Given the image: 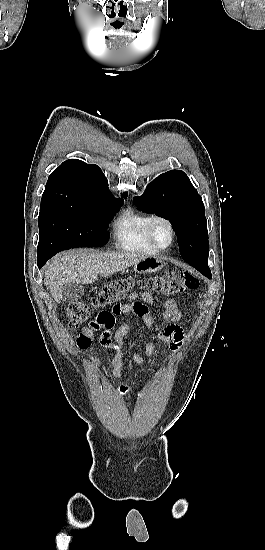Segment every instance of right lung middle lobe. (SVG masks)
Masks as SVG:
<instances>
[{"label": "right lung middle lobe", "instance_id": "obj_1", "mask_svg": "<svg viewBox=\"0 0 265 550\" xmlns=\"http://www.w3.org/2000/svg\"><path fill=\"white\" fill-rule=\"evenodd\" d=\"M123 203V199L101 198L41 200L37 256L51 258L66 249L104 246L109 221Z\"/></svg>", "mask_w": 265, "mask_h": 550}]
</instances>
